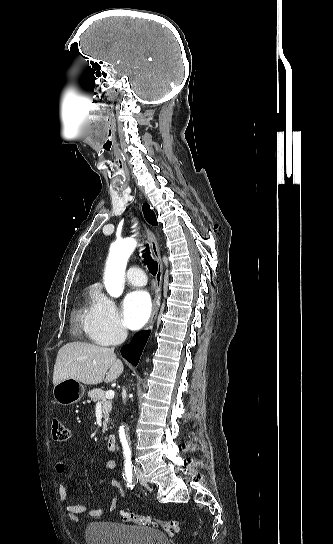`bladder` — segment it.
<instances>
[{
    "label": "bladder",
    "mask_w": 333,
    "mask_h": 544,
    "mask_svg": "<svg viewBox=\"0 0 333 544\" xmlns=\"http://www.w3.org/2000/svg\"><path fill=\"white\" fill-rule=\"evenodd\" d=\"M84 537L86 544H169L160 530L111 521L90 523Z\"/></svg>",
    "instance_id": "31cf9c89"
}]
</instances>
